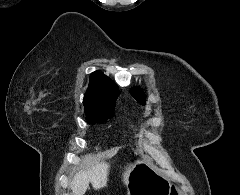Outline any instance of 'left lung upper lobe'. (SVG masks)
Listing matches in <instances>:
<instances>
[{"mask_svg": "<svg viewBox=\"0 0 240 195\" xmlns=\"http://www.w3.org/2000/svg\"><path fill=\"white\" fill-rule=\"evenodd\" d=\"M131 93L137 101H139L141 104H145L144 93L138 87L132 88Z\"/></svg>", "mask_w": 240, "mask_h": 195, "instance_id": "obj_1", "label": "left lung upper lobe"}]
</instances>
